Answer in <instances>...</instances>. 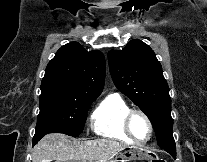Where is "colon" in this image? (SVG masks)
Instances as JSON below:
<instances>
[{
    "mask_svg": "<svg viewBox=\"0 0 207 162\" xmlns=\"http://www.w3.org/2000/svg\"><path fill=\"white\" fill-rule=\"evenodd\" d=\"M151 162H167V161L161 160V159H156V160H152Z\"/></svg>",
    "mask_w": 207,
    "mask_h": 162,
    "instance_id": "colon-1",
    "label": "colon"
}]
</instances>
